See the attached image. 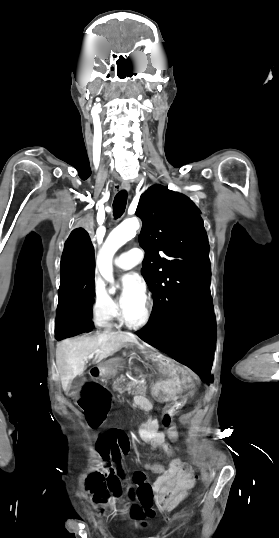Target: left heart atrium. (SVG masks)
Here are the masks:
<instances>
[{
  "label": "left heart atrium",
  "instance_id": "39dd6f15",
  "mask_svg": "<svg viewBox=\"0 0 279 538\" xmlns=\"http://www.w3.org/2000/svg\"><path fill=\"white\" fill-rule=\"evenodd\" d=\"M123 284L122 304H125L131 299H143L144 285L139 278L131 274L125 275L123 277Z\"/></svg>",
  "mask_w": 279,
  "mask_h": 538
}]
</instances>
